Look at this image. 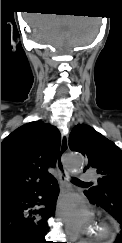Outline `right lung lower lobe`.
I'll list each match as a JSON object with an SVG mask.
<instances>
[{"label":"right lung lower lobe","mask_w":122,"mask_h":243,"mask_svg":"<svg viewBox=\"0 0 122 243\" xmlns=\"http://www.w3.org/2000/svg\"><path fill=\"white\" fill-rule=\"evenodd\" d=\"M46 181L1 198V243H47V220L55 209L58 185L55 180L48 196L40 201ZM36 205L43 207L37 209Z\"/></svg>","instance_id":"1"}]
</instances>
